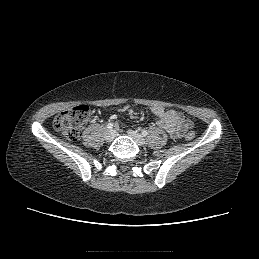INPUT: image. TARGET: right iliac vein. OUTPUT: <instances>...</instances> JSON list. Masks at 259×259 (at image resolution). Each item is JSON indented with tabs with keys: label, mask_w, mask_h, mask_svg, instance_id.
<instances>
[{
	"label": "right iliac vein",
	"mask_w": 259,
	"mask_h": 259,
	"mask_svg": "<svg viewBox=\"0 0 259 259\" xmlns=\"http://www.w3.org/2000/svg\"><path fill=\"white\" fill-rule=\"evenodd\" d=\"M115 137V131L114 130H107L104 134V138L107 142H111Z\"/></svg>",
	"instance_id": "right-iliac-vein-1"
}]
</instances>
